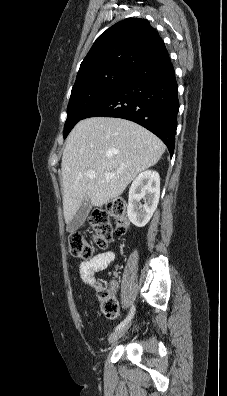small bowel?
I'll return each instance as SVG.
<instances>
[{
    "label": "small bowel",
    "instance_id": "c3829d8e",
    "mask_svg": "<svg viewBox=\"0 0 227 396\" xmlns=\"http://www.w3.org/2000/svg\"><path fill=\"white\" fill-rule=\"evenodd\" d=\"M115 254L112 251H107L100 253L91 259H88L86 261H83L80 264V277L82 281L89 285L92 286L95 282V274L97 272H100L104 269H106L114 260ZM118 289V284L116 282H113L111 284V290L112 292H116Z\"/></svg>",
    "mask_w": 227,
    "mask_h": 396
}]
</instances>
